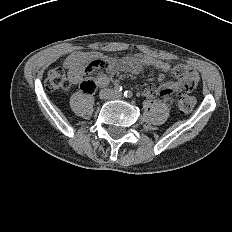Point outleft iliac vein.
<instances>
[{"mask_svg":"<svg viewBox=\"0 0 232 232\" xmlns=\"http://www.w3.org/2000/svg\"><path fill=\"white\" fill-rule=\"evenodd\" d=\"M114 98L115 99H121V95H115Z\"/></svg>","mask_w":232,"mask_h":232,"instance_id":"left-iliac-vein-1","label":"left iliac vein"}]
</instances>
